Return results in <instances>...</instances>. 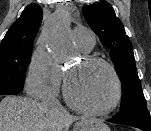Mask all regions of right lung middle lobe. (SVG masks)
I'll return each instance as SVG.
<instances>
[{
    "label": "right lung middle lobe",
    "mask_w": 151,
    "mask_h": 131,
    "mask_svg": "<svg viewBox=\"0 0 151 131\" xmlns=\"http://www.w3.org/2000/svg\"><path fill=\"white\" fill-rule=\"evenodd\" d=\"M32 47V44H1L0 95L18 94L22 91Z\"/></svg>",
    "instance_id": "1"
}]
</instances>
